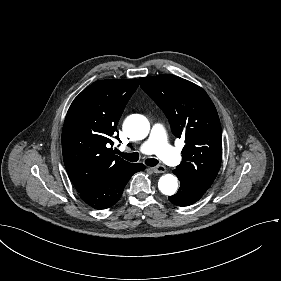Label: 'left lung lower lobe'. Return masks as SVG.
<instances>
[{
  "instance_id": "0a47b994",
  "label": "left lung lower lobe",
  "mask_w": 281,
  "mask_h": 281,
  "mask_svg": "<svg viewBox=\"0 0 281 281\" xmlns=\"http://www.w3.org/2000/svg\"><path fill=\"white\" fill-rule=\"evenodd\" d=\"M179 180L181 182V187L179 188V191L175 195L169 197V201L174 205L177 206L192 205L195 202H197L205 193L201 189L194 186L191 182L184 179H179Z\"/></svg>"
}]
</instances>
